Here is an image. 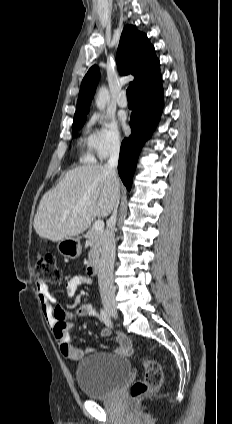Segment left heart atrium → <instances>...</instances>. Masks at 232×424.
<instances>
[{"mask_svg":"<svg viewBox=\"0 0 232 424\" xmlns=\"http://www.w3.org/2000/svg\"><path fill=\"white\" fill-rule=\"evenodd\" d=\"M123 127H124L125 129L127 128V126H126L125 122H123Z\"/></svg>","mask_w":232,"mask_h":424,"instance_id":"obj_1","label":"left heart atrium"}]
</instances>
